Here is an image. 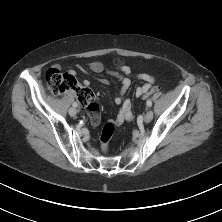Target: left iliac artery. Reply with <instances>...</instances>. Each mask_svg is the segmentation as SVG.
Returning <instances> with one entry per match:
<instances>
[{"mask_svg":"<svg viewBox=\"0 0 222 222\" xmlns=\"http://www.w3.org/2000/svg\"><path fill=\"white\" fill-rule=\"evenodd\" d=\"M146 104H147L148 107H151L152 106V101L150 99H148Z\"/></svg>","mask_w":222,"mask_h":222,"instance_id":"44dca946","label":"left iliac artery"}]
</instances>
